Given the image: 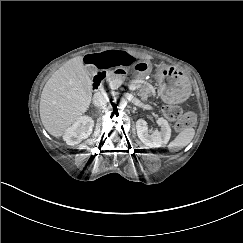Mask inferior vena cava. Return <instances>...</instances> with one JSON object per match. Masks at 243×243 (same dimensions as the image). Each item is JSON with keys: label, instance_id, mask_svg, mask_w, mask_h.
<instances>
[{"label": "inferior vena cava", "instance_id": "inferior-vena-cava-1", "mask_svg": "<svg viewBox=\"0 0 243 243\" xmlns=\"http://www.w3.org/2000/svg\"><path fill=\"white\" fill-rule=\"evenodd\" d=\"M108 97L106 93L96 92L93 96V104L95 106H102L107 104Z\"/></svg>", "mask_w": 243, "mask_h": 243}]
</instances>
